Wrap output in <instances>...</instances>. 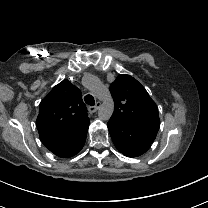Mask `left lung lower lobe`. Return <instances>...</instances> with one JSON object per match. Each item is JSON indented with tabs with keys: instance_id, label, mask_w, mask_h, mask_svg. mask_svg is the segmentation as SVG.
Instances as JSON below:
<instances>
[{
	"instance_id": "1",
	"label": "left lung lower lobe",
	"mask_w": 208,
	"mask_h": 208,
	"mask_svg": "<svg viewBox=\"0 0 208 208\" xmlns=\"http://www.w3.org/2000/svg\"><path fill=\"white\" fill-rule=\"evenodd\" d=\"M108 130L117 150L127 157H138L144 154L152 144L133 127L115 120L108 122Z\"/></svg>"
}]
</instances>
